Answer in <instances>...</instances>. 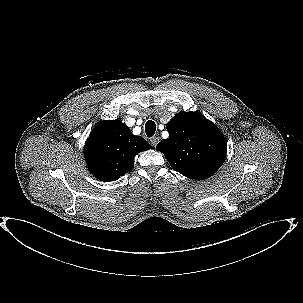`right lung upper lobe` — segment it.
<instances>
[{
    "label": "right lung upper lobe",
    "instance_id": "right-lung-upper-lobe-1",
    "mask_svg": "<svg viewBox=\"0 0 303 303\" xmlns=\"http://www.w3.org/2000/svg\"><path fill=\"white\" fill-rule=\"evenodd\" d=\"M151 148L121 121H101L86 141L84 157L93 176L110 182L132 170L135 156Z\"/></svg>",
    "mask_w": 303,
    "mask_h": 303
}]
</instances>
